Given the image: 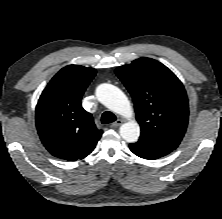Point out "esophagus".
<instances>
[{"label":"esophagus","mask_w":222,"mask_h":219,"mask_svg":"<svg viewBox=\"0 0 222 219\" xmlns=\"http://www.w3.org/2000/svg\"><path fill=\"white\" fill-rule=\"evenodd\" d=\"M123 123V121L121 119L116 120L115 122H113L110 127L111 128H116L118 126H120Z\"/></svg>","instance_id":"34e87169"}]
</instances>
